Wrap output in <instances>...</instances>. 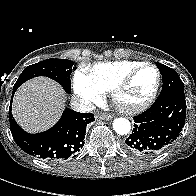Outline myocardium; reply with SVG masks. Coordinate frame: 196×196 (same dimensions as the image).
Instances as JSON below:
<instances>
[{"label":"myocardium","mask_w":196,"mask_h":196,"mask_svg":"<svg viewBox=\"0 0 196 196\" xmlns=\"http://www.w3.org/2000/svg\"><path fill=\"white\" fill-rule=\"evenodd\" d=\"M152 68L157 73V81L151 94L142 102L133 105H126L121 102V94L129 86L134 77L143 69ZM162 83V74L159 68L152 63H142L126 73L111 90V98L113 103L123 112L138 113L148 108L155 100Z\"/></svg>","instance_id":"obj_1"}]
</instances>
